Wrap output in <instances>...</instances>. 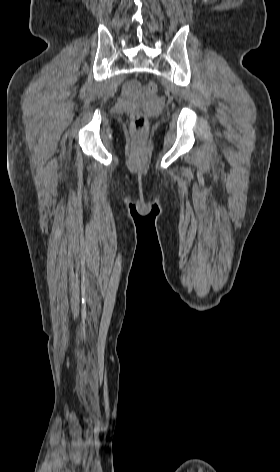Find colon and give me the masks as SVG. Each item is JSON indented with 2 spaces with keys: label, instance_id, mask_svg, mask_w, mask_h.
<instances>
[{
  "label": "colon",
  "instance_id": "colon-1",
  "mask_svg": "<svg viewBox=\"0 0 280 472\" xmlns=\"http://www.w3.org/2000/svg\"><path fill=\"white\" fill-rule=\"evenodd\" d=\"M146 88L148 92L155 93L157 91V84L155 82H149ZM131 124L136 137L142 138L145 136L148 128V120L144 113L139 110L133 111L131 113Z\"/></svg>",
  "mask_w": 280,
  "mask_h": 472
}]
</instances>
